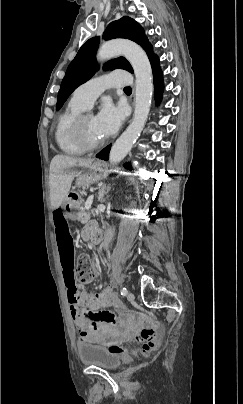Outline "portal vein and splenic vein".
Returning <instances> with one entry per match:
<instances>
[{
  "mask_svg": "<svg viewBox=\"0 0 243 404\" xmlns=\"http://www.w3.org/2000/svg\"><path fill=\"white\" fill-rule=\"evenodd\" d=\"M94 196H89L85 202V210H90Z\"/></svg>",
  "mask_w": 243,
  "mask_h": 404,
  "instance_id": "1",
  "label": "portal vein and splenic vein"
}]
</instances>
